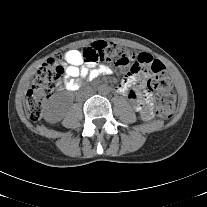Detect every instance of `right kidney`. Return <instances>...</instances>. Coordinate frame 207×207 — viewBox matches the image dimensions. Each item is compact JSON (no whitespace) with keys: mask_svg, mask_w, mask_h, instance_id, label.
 <instances>
[{"mask_svg":"<svg viewBox=\"0 0 207 207\" xmlns=\"http://www.w3.org/2000/svg\"><path fill=\"white\" fill-rule=\"evenodd\" d=\"M64 112L56 100H52L46 108L44 118L49 123H56L63 119Z\"/></svg>","mask_w":207,"mask_h":207,"instance_id":"1","label":"right kidney"}]
</instances>
